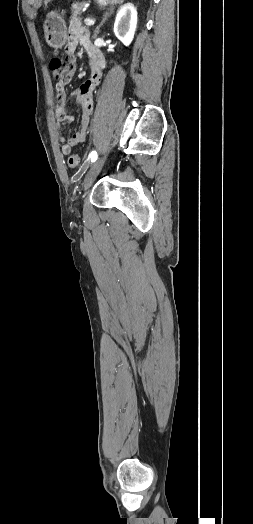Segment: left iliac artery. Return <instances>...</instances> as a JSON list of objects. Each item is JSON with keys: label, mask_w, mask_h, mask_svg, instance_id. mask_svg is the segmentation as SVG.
<instances>
[{"label": "left iliac artery", "mask_w": 253, "mask_h": 524, "mask_svg": "<svg viewBox=\"0 0 253 524\" xmlns=\"http://www.w3.org/2000/svg\"><path fill=\"white\" fill-rule=\"evenodd\" d=\"M89 157H90V160H91L92 163L95 162L96 159H97V153H96V151L91 152V154L89 155Z\"/></svg>", "instance_id": "left-iliac-artery-1"}]
</instances>
